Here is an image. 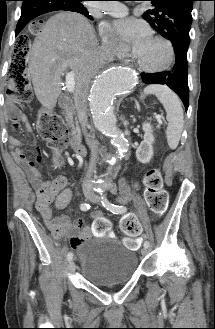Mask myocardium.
<instances>
[{"instance_id": "1", "label": "myocardium", "mask_w": 215, "mask_h": 329, "mask_svg": "<svg viewBox=\"0 0 215 329\" xmlns=\"http://www.w3.org/2000/svg\"><path fill=\"white\" fill-rule=\"evenodd\" d=\"M152 39L161 42L162 44L165 45V47L168 50V59L167 61L160 67H155V68H151V67H147L145 65H143L137 58L136 53H133V60L136 64V66L143 72L146 73H161L164 72L166 70H168L174 63L175 61V57H176V53H175V49L173 44L171 43V41L163 36L160 35H156L153 36Z\"/></svg>"}]
</instances>
